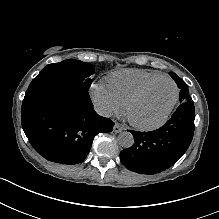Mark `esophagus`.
Here are the masks:
<instances>
[{
    "mask_svg": "<svg viewBox=\"0 0 219 219\" xmlns=\"http://www.w3.org/2000/svg\"><path fill=\"white\" fill-rule=\"evenodd\" d=\"M124 130V127H122L120 124L115 123L114 127H113V131L115 133H120Z\"/></svg>",
    "mask_w": 219,
    "mask_h": 219,
    "instance_id": "esophagus-1",
    "label": "esophagus"
}]
</instances>
